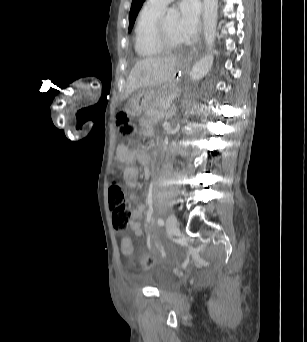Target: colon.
<instances>
[{
  "mask_svg": "<svg viewBox=\"0 0 307 342\" xmlns=\"http://www.w3.org/2000/svg\"><path fill=\"white\" fill-rule=\"evenodd\" d=\"M116 125L119 133L123 136L131 138L135 134L136 127L126 111H119L117 113ZM108 198L112 210L114 227L124 229L130 221L132 209L116 177L112 178ZM119 245L121 246V254L133 253L132 246L134 245V240L131 239L129 235H124L123 238L119 240ZM153 259V255L146 258V261L142 264L143 270L146 271L152 267Z\"/></svg>",
  "mask_w": 307,
  "mask_h": 342,
  "instance_id": "1",
  "label": "colon"
}]
</instances>
